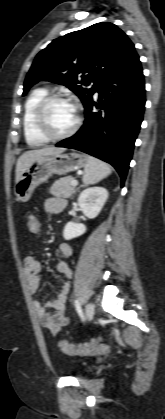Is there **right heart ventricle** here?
<instances>
[{"mask_svg":"<svg viewBox=\"0 0 165 419\" xmlns=\"http://www.w3.org/2000/svg\"><path fill=\"white\" fill-rule=\"evenodd\" d=\"M46 95H48L46 89L37 88L29 94L24 104L22 119L23 133L26 142L30 146H41L48 142V140L38 132L34 120L36 106Z\"/></svg>","mask_w":165,"mask_h":419,"instance_id":"1","label":"right heart ventricle"}]
</instances>
